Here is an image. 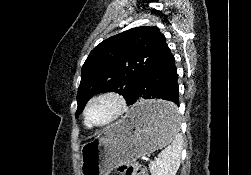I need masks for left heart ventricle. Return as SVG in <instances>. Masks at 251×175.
Here are the masks:
<instances>
[{
    "mask_svg": "<svg viewBox=\"0 0 251 175\" xmlns=\"http://www.w3.org/2000/svg\"><path fill=\"white\" fill-rule=\"evenodd\" d=\"M119 112V103L111 97H104L92 102L88 111V119L91 124L102 126L112 122Z\"/></svg>",
    "mask_w": 251,
    "mask_h": 175,
    "instance_id": "obj_1",
    "label": "left heart ventricle"
}]
</instances>
